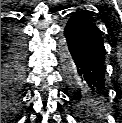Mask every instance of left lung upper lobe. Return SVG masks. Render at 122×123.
Instances as JSON below:
<instances>
[{
  "instance_id": "left-lung-upper-lobe-1",
  "label": "left lung upper lobe",
  "mask_w": 122,
  "mask_h": 123,
  "mask_svg": "<svg viewBox=\"0 0 122 123\" xmlns=\"http://www.w3.org/2000/svg\"><path fill=\"white\" fill-rule=\"evenodd\" d=\"M75 14L84 16V17L90 19L91 21L95 22V19H94V18L91 16V14L88 13V11H86V10H78Z\"/></svg>"
}]
</instances>
